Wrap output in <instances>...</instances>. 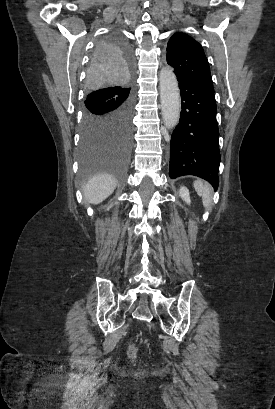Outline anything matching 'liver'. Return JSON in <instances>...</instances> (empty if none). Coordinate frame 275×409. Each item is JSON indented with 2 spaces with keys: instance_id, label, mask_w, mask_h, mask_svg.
<instances>
[{
  "instance_id": "obj_1",
  "label": "liver",
  "mask_w": 275,
  "mask_h": 409,
  "mask_svg": "<svg viewBox=\"0 0 275 409\" xmlns=\"http://www.w3.org/2000/svg\"><path fill=\"white\" fill-rule=\"evenodd\" d=\"M115 186L116 180L111 174H94L83 186L84 196L88 202L98 205V202L112 194Z\"/></svg>"
}]
</instances>
